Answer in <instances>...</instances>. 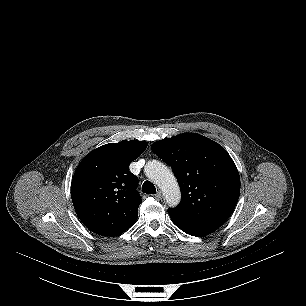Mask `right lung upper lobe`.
Segmentation results:
<instances>
[{"label":"right lung upper lobe","mask_w":306,"mask_h":306,"mask_svg":"<svg viewBox=\"0 0 306 306\" xmlns=\"http://www.w3.org/2000/svg\"><path fill=\"white\" fill-rule=\"evenodd\" d=\"M147 145L137 140L109 143L90 152L77 167L72 202L79 219L92 232L117 236L136 221L142 200L129 165Z\"/></svg>","instance_id":"cb5924a9"}]
</instances>
